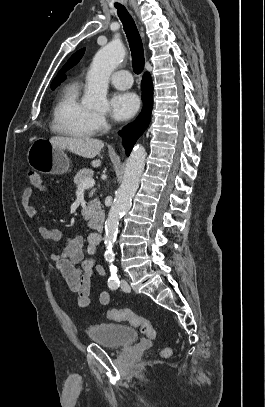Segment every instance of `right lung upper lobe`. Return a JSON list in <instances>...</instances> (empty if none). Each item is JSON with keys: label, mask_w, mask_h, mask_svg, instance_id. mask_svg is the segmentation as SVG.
Instances as JSON below:
<instances>
[{"label": "right lung upper lobe", "mask_w": 265, "mask_h": 407, "mask_svg": "<svg viewBox=\"0 0 265 407\" xmlns=\"http://www.w3.org/2000/svg\"><path fill=\"white\" fill-rule=\"evenodd\" d=\"M84 51L85 49L79 50L68 60V62L58 72L57 77L53 80L51 85H58L66 78V76H64L63 74L80 61L84 54Z\"/></svg>", "instance_id": "obj_1"}]
</instances>
